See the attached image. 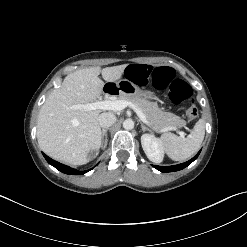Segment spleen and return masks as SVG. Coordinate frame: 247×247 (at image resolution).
<instances>
[{"mask_svg": "<svg viewBox=\"0 0 247 247\" xmlns=\"http://www.w3.org/2000/svg\"><path fill=\"white\" fill-rule=\"evenodd\" d=\"M205 135L204 121L200 119L187 137L163 134L161 141L167 155L174 161H183L198 151Z\"/></svg>", "mask_w": 247, "mask_h": 247, "instance_id": "3e777b00", "label": "spleen"}]
</instances>
